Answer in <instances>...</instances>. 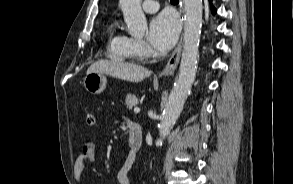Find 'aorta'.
I'll return each instance as SVG.
<instances>
[{
  "label": "aorta",
  "instance_id": "aorta-1",
  "mask_svg": "<svg viewBox=\"0 0 293 184\" xmlns=\"http://www.w3.org/2000/svg\"><path fill=\"white\" fill-rule=\"evenodd\" d=\"M185 11L184 41L178 76L170 92L166 107L158 125L163 141L176 123L189 96L196 77L199 59V40L202 26V0H183ZM129 33L142 36L148 29L141 0H119Z\"/></svg>",
  "mask_w": 293,
  "mask_h": 184
}]
</instances>
